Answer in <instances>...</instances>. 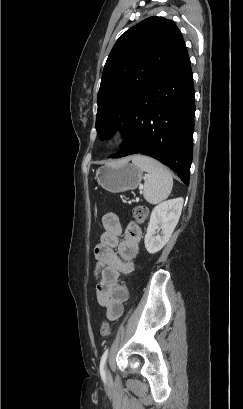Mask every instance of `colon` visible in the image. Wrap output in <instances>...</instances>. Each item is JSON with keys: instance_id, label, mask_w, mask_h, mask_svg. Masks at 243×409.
<instances>
[{"instance_id": "5ec220e1", "label": "colon", "mask_w": 243, "mask_h": 409, "mask_svg": "<svg viewBox=\"0 0 243 409\" xmlns=\"http://www.w3.org/2000/svg\"><path fill=\"white\" fill-rule=\"evenodd\" d=\"M148 215V209L143 205H138L133 210V216L136 221L142 223ZM100 335L106 337L110 332V323L108 321H103L99 329Z\"/></svg>"}]
</instances>
